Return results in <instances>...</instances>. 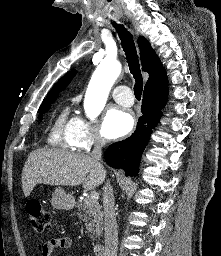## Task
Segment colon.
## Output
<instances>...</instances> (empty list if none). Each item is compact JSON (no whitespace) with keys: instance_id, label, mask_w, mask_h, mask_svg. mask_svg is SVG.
I'll return each mask as SVG.
<instances>
[{"instance_id":"5ec220e1","label":"colon","mask_w":221,"mask_h":256,"mask_svg":"<svg viewBox=\"0 0 221 256\" xmlns=\"http://www.w3.org/2000/svg\"><path fill=\"white\" fill-rule=\"evenodd\" d=\"M30 224L35 231L45 230L51 221L50 213L43 204L36 199H31L26 204Z\"/></svg>"}]
</instances>
